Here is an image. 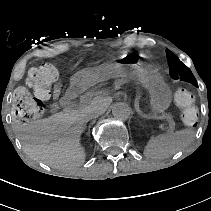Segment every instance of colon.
Segmentation results:
<instances>
[{"label":"colon","instance_id":"obj_1","mask_svg":"<svg viewBox=\"0 0 211 211\" xmlns=\"http://www.w3.org/2000/svg\"><path fill=\"white\" fill-rule=\"evenodd\" d=\"M59 69L56 65L47 63L29 71L26 88H18L13 95L12 117L17 123H29L40 118L44 113V101L52 94L53 84L58 80ZM174 99L181 110V118L185 125L196 126L198 108L194 95L185 88H178Z\"/></svg>","mask_w":211,"mask_h":211}]
</instances>
